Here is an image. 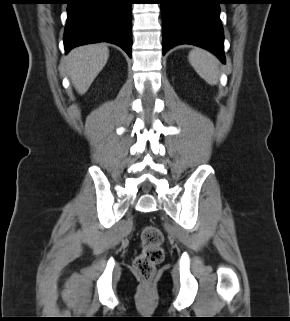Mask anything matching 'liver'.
<instances>
[{"mask_svg":"<svg viewBox=\"0 0 290 321\" xmlns=\"http://www.w3.org/2000/svg\"><path fill=\"white\" fill-rule=\"evenodd\" d=\"M108 58L109 49L101 43L77 47L65 57L66 72L80 95L87 92Z\"/></svg>","mask_w":290,"mask_h":321,"instance_id":"1","label":"liver"}]
</instances>
